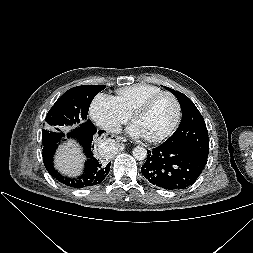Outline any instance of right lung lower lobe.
Here are the masks:
<instances>
[{
  "label": "right lung lower lobe",
  "instance_id": "98d812e1",
  "mask_svg": "<svg viewBox=\"0 0 253 253\" xmlns=\"http://www.w3.org/2000/svg\"><path fill=\"white\" fill-rule=\"evenodd\" d=\"M104 131H97L93 123L86 128H78L72 138L76 139L83 148L86 156L84 170L77 178L61 175L53 166V156L60 141L43 144V162L49 174L58 182L72 188H86L100 184L110 171V163L95 152L94 139Z\"/></svg>",
  "mask_w": 253,
  "mask_h": 253
}]
</instances>
